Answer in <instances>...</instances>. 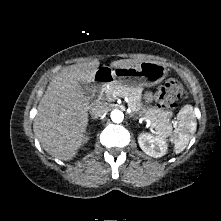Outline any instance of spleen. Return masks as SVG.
<instances>
[{
	"label": "spleen",
	"mask_w": 221,
	"mask_h": 221,
	"mask_svg": "<svg viewBox=\"0 0 221 221\" xmlns=\"http://www.w3.org/2000/svg\"><path fill=\"white\" fill-rule=\"evenodd\" d=\"M179 124L172 138L177 153L182 152L196 131L197 123L191 105L184 106L178 113ZM166 136V135H165Z\"/></svg>",
	"instance_id": "3e777b00"
}]
</instances>
